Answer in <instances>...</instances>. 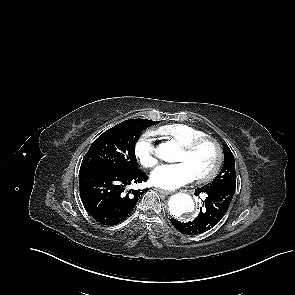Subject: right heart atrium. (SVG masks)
Instances as JSON below:
<instances>
[{"label": "right heart atrium", "mask_w": 295, "mask_h": 295, "mask_svg": "<svg viewBox=\"0 0 295 295\" xmlns=\"http://www.w3.org/2000/svg\"><path fill=\"white\" fill-rule=\"evenodd\" d=\"M135 155L145 168L151 169L157 165L159 157L152 132H145L140 136L135 144Z\"/></svg>", "instance_id": "obj_1"}]
</instances>
